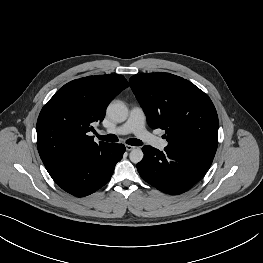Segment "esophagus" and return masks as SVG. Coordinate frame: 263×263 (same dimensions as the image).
I'll use <instances>...</instances> for the list:
<instances>
[{
	"instance_id": "esophagus-1",
	"label": "esophagus",
	"mask_w": 263,
	"mask_h": 263,
	"mask_svg": "<svg viewBox=\"0 0 263 263\" xmlns=\"http://www.w3.org/2000/svg\"><path fill=\"white\" fill-rule=\"evenodd\" d=\"M125 148L127 151H131V150L135 149V147L131 146V145H126Z\"/></svg>"
}]
</instances>
